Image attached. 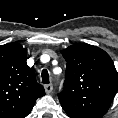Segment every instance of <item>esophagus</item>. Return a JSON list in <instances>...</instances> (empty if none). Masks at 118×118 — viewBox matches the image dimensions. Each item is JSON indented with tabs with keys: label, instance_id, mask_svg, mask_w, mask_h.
Here are the masks:
<instances>
[{
	"label": "esophagus",
	"instance_id": "34e87169",
	"mask_svg": "<svg viewBox=\"0 0 118 118\" xmlns=\"http://www.w3.org/2000/svg\"><path fill=\"white\" fill-rule=\"evenodd\" d=\"M44 88H45V92H46L47 94H49V93H51L52 90H53V85H52V84H46V85L44 86Z\"/></svg>",
	"mask_w": 118,
	"mask_h": 118
}]
</instances>
